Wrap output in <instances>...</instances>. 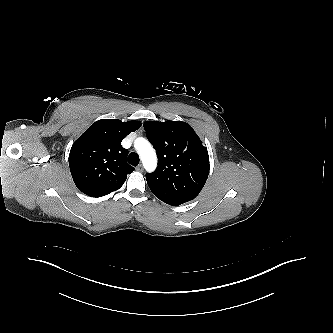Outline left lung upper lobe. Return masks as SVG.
I'll return each instance as SVG.
<instances>
[{
	"mask_svg": "<svg viewBox=\"0 0 333 333\" xmlns=\"http://www.w3.org/2000/svg\"><path fill=\"white\" fill-rule=\"evenodd\" d=\"M148 140L155 148L158 166L146 179L153 194L166 200H193L209 174L207 149L193 128L182 121H146Z\"/></svg>",
	"mask_w": 333,
	"mask_h": 333,
	"instance_id": "1",
	"label": "left lung upper lobe"
}]
</instances>
